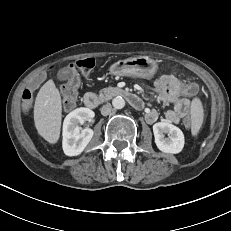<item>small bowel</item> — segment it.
Listing matches in <instances>:
<instances>
[{
  "label": "small bowel",
  "mask_w": 231,
  "mask_h": 231,
  "mask_svg": "<svg viewBox=\"0 0 231 231\" xmlns=\"http://www.w3.org/2000/svg\"><path fill=\"white\" fill-rule=\"evenodd\" d=\"M182 84L173 75H163L155 82V91L160 101L172 106L165 112V120L172 124H179L187 117L190 111L191 102L184 96L185 93L178 92V85ZM159 118V113L155 109H147L145 112V120L147 123H155Z\"/></svg>",
  "instance_id": "small-bowel-1"
}]
</instances>
